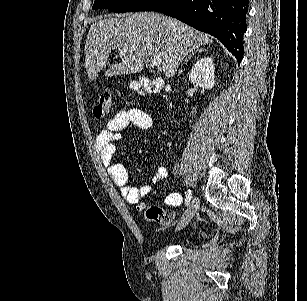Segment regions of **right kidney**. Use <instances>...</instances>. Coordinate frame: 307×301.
Returning <instances> with one entry per match:
<instances>
[{
  "label": "right kidney",
  "mask_w": 307,
  "mask_h": 301,
  "mask_svg": "<svg viewBox=\"0 0 307 301\" xmlns=\"http://www.w3.org/2000/svg\"><path fill=\"white\" fill-rule=\"evenodd\" d=\"M189 80L195 84V86H201V88H213L215 86V68L213 64V58L210 56H204L197 60L193 64L189 74Z\"/></svg>",
  "instance_id": "right-kidney-1"
}]
</instances>
